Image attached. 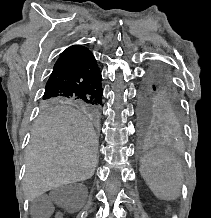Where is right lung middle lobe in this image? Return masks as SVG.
<instances>
[{"mask_svg": "<svg viewBox=\"0 0 211 218\" xmlns=\"http://www.w3.org/2000/svg\"><path fill=\"white\" fill-rule=\"evenodd\" d=\"M100 105L88 99H81L75 97H44L41 101V108L43 110H50L64 106H79L87 109L91 113H97Z\"/></svg>", "mask_w": 211, "mask_h": 218, "instance_id": "obj_1", "label": "right lung middle lobe"}]
</instances>
